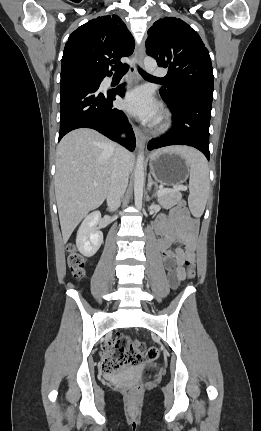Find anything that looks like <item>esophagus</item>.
Returning <instances> with one entry per match:
<instances>
[{"label":"esophagus","instance_id":"esophagus-1","mask_svg":"<svg viewBox=\"0 0 261 431\" xmlns=\"http://www.w3.org/2000/svg\"><path fill=\"white\" fill-rule=\"evenodd\" d=\"M144 56H145V50L143 45H141L140 47L137 48L136 51V64H135V68L134 71L137 73L138 68H142L143 67V61H144ZM134 133H135V137H136V144H137V148L141 149L144 146L145 143V138L140 130L139 127L134 126Z\"/></svg>","mask_w":261,"mask_h":431}]
</instances>
